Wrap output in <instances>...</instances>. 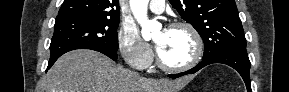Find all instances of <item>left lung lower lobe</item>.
<instances>
[{"mask_svg": "<svg viewBox=\"0 0 289 92\" xmlns=\"http://www.w3.org/2000/svg\"><path fill=\"white\" fill-rule=\"evenodd\" d=\"M213 63H222V64H226L234 68L243 78L248 92H252L251 83H250V75H249L250 61H249L247 52L225 51V52H220V53L211 55L209 57H204L202 61L194 68L186 72L168 75V77L175 79V78L187 75V74H193L199 71L201 68L209 64H213Z\"/></svg>", "mask_w": 289, "mask_h": 92, "instance_id": "1", "label": "left lung lower lobe"}]
</instances>
